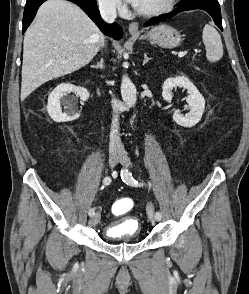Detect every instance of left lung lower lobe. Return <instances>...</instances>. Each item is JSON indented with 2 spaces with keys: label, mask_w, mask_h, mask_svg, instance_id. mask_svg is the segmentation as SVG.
Wrapping results in <instances>:
<instances>
[{
  "label": "left lung lower lobe",
  "mask_w": 249,
  "mask_h": 294,
  "mask_svg": "<svg viewBox=\"0 0 249 294\" xmlns=\"http://www.w3.org/2000/svg\"><path fill=\"white\" fill-rule=\"evenodd\" d=\"M178 5V8L174 11L160 17L152 18L148 22V25L156 24L183 11L202 9L207 11L212 16L215 24L223 31L220 5L217 0H182Z\"/></svg>",
  "instance_id": "1"
}]
</instances>
